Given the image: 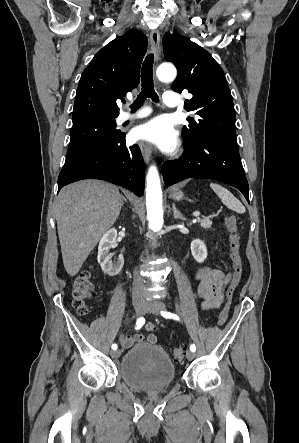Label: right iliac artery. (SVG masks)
Segmentation results:
<instances>
[{"instance_id": "right-iliac-artery-1", "label": "right iliac artery", "mask_w": 299, "mask_h": 443, "mask_svg": "<svg viewBox=\"0 0 299 443\" xmlns=\"http://www.w3.org/2000/svg\"><path fill=\"white\" fill-rule=\"evenodd\" d=\"M144 323H145V319L143 318V317H139L138 319H137V321H136V329H140L143 325H144ZM112 349L113 350H116L117 349V345L116 344H113L112 345Z\"/></svg>"}]
</instances>
